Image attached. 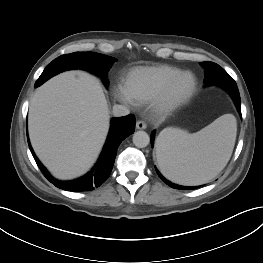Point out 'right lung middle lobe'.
I'll return each instance as SVG.
<instances>
[{
    "label": "right lung middle lobe",
    "mask_w": 263,
    "mask_h": 263,
    "mask_svg": "<svg viewBox=\"0 0 263 263\" xmlns=\"http://www.w3.org/2000/svg\"><path fill=\"white\" fill-rule=\"evenodd\" d=\"M116 60L102 54L93 52H74L62 55L53 60L41 74V79H47L68 69H84L105 77L108 70ZM107 85V81L105 80Z\"/></svg>",
    "instance_id": "dd1d6c3e"
}]
</instances>
